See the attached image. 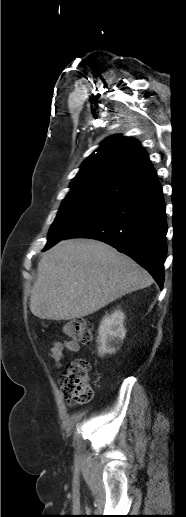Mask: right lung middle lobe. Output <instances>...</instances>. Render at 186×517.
<instances>
[{
    "label": "right lung middle lobe",
    "instance_id": "dd1d6c3e",
    "mask_svg": "<svg viewBox=\"0 0 186 517\" xmlns=\"http://www.w3.org/2000/svg\"><path fill=\"white\" fill-rule=\"evenodd\" d=\"M117 200L95 196L66 197L53 222L44 250L65 239L78 227L112 206Z\"/></svg>",
    "mask_w": 186,
    "mask_h": 517
}]
</instances>
